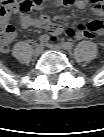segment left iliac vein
Returning a JSON list of instances; mask_svg holds the SVG:
<instances>
[{
    "mask_svg": "<svg viewBox=\"0 0 104 137\" xmlns=\"http://www.w3.org/2000/svg\"><path fill=\"white\" fill-rule=\"evenodd\" d=\"M50 48L56 51H62L65 48V44H59V45H50Z\"/></svg>",
    "mask_w": 104,
    "mask_h": 137,
    "instance_id": "left-iliac-vein-1",
    "label": "left iliac vein"
}]
</instances>
